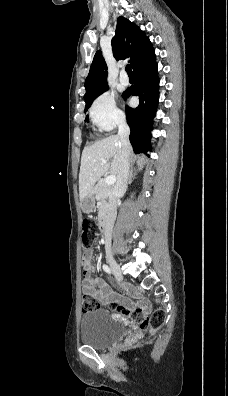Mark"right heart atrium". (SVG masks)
<instances>
[{"label": "right heart atrium", "mask_w": 228, "mask_h": 396, "mask_svg": "<svg viewBox=\"0 0 228 396\" xmlns=\"http://www.w3.org/2000/svg\"><path fill=\"white\" fill-rule=\"evenodd\" d=\"M89 113L94 126L100 131H111L124 122V115L116 105L115 96L110 92L97 96Z\"/></svg>", "instance_id": "obj_1"}]
</instances>
